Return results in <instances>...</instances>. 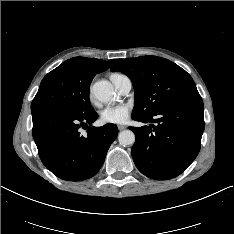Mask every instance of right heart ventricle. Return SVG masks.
<instances>
[{
  "label": "right heart ventricle",
  "mask_w": 234,
  "mask_h": 234,
  "mask_svg": "<svg viewBox=\"0 0 234 234\" xmlns=\"http://www.w3.org/2000/svg\"><path fill=\"white\" fill-rule=\"evenodd\" d=\"M123 76L122 74L120 73H113L111 75V80H117L119 77Z\"/></svg>",
  "instance_id": "e07e8e85"
}]
</instances>
